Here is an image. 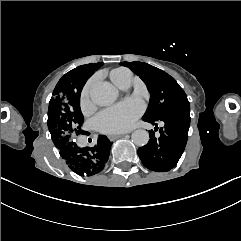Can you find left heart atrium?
Here are the masks:
<instances>
[{
  "instance_id": "left-heart-atrium-1",
  "label": "left heart atrium",
  "mask_w": 241,
  "mask_h": 241,
  "mask_svg": "<svg viewBox=\"0 0 241 241\" xmlns=\"http://www.w3.org/2000/svg\"><path fill=\"white\" fill-rule=\"evenodd\" d=\"M141 107L117 105L103 110L94 117L96 127L106 134H119L130 131L141 114Z\"/></svg>"
}]
</instances>
